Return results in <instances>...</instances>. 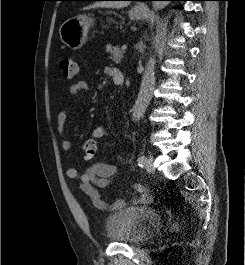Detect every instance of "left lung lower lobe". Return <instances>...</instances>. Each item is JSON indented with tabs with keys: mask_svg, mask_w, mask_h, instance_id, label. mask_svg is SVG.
<instances>
[{
	"mask_svg": "<svg viewBox=\"0 0 245 265\" xmlns=\"http://www.w3.org/2000/svg\"><path fill=\"white\" fill-rule=\"evenodd\" d=\"M127 1H157V0H127ZM166 1H187V0H166Z\"/></svg>",
	"mask_w": 245,
	"mask_h": 265,
	"instance_id": "left-lung-lower-lobe-1",
	"label": "left lung lower lobe"
}]
</instances>
